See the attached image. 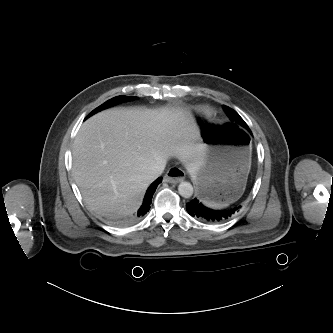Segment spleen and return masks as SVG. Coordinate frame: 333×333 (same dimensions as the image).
Masks as SVG:
<instances>
[{"mask_svg":"<svg viewBox=\"0 0 333 333\" xmlns=\"http://www.w3.org/2000/svg\"><path fill=\"white\" fill-rule=\"evenodd\" d=\"M203 203L208 206V207H211V208H221L223 206L217 204V203H214V202H211V201H208V200H203Z\"/></svg>","mask_w":333,"mask_h":333,"instance_id":"spleen-1","label":"spleen"}]
</instances>
